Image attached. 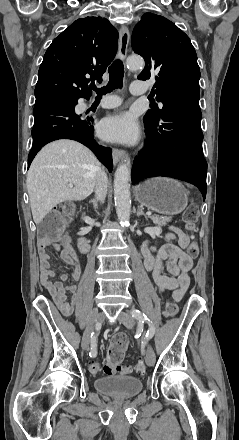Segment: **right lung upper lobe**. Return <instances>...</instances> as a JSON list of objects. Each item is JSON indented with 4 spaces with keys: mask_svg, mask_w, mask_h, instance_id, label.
<instances>
[{
    "mask_svg": "<svg viewBox=\"0 0 239 440\" xmlns=\"http://www.w3.org/2000/svg\"><path fill=\"white\" fill-rule=\"evenodd\" d=\"M118 32L102 17L73 22L47 49L38 72L36 99L92 94L89 79H101L117 51Z\"/></svg>",
    "mask_w": 239,
    "mask_h": 440,
    "instance_id": "cb5924a9",
    "label": "right lung upper lobe"
}]
</instances>
